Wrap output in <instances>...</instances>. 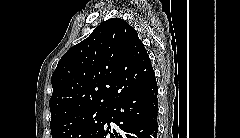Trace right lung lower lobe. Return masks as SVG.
Wrapping results in <instances>:
<instances>
[{
    "label": "right lung lower lobe",
    "mask_w": 240,
    "mask_h": 138,
    "mask_svg": "<svg viewBox=\"0 0 240 138\" xmlns=\"http://www.w3.org/2000/svg\"><path fill=\"white\" fill-rule=\"evenodd\" d=\"M158 87L155 75L109 107L93 138H157ZM116 126L113 127L110 123Z\"/></svg>",
    "instance_id": "1"
}]
</instances>
